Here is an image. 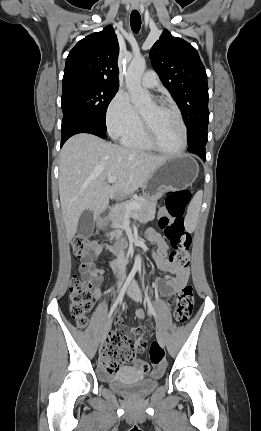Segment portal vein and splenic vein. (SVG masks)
I'll use <instances>...</instances> for the list:
<instances>
[{
  "mask_svg": "<svg viewBox=\"0 0 261 431\" xmlns=\"http://www.w3.org/2000/svg\"><path fill=\"white\" fill-rule=\"evenodd\" d=\"M107 180L110 184H112V183H115L117 181V177L116 176H109L107 178ZM124 206L127 210H131V209L139 208L140 204L139 203H128V204H124Z\"/></svg>",
  "mask_w": 261,
  "mask_h": 431,
  "instance_id": "portal-vein-and-splenic-vein-1",
  "label": "portal vein and splenic vein"
}]
</instances>
